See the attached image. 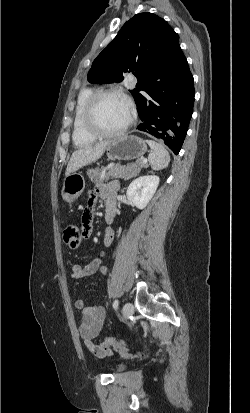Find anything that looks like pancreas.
I'll list each match as a JSON object with an SVG mask.
<instances>
[{"label":"pancreas","mask_w":250,"mask_h":413,"mask_svg":"<svg viewBox=\"0 0 250 413\" xmlns=\"http://www.w3.org/2000/svg\"><path fill=\"white\" fill-rule=\"evenodd\" d=\"M143 167H147V165L140 159L137 160L135 163L128 164L126 166L117 164L109 168L97 167L94 169H89L87 171V175L93 183L99 185L103 183L105 180H107L110 176L122 179L134 177L140 172L141 168ZM106 170L109 171L106 174H103Z\"/></svg>","instance_id":"obj_1"}]
</instances>
